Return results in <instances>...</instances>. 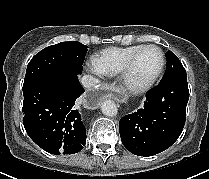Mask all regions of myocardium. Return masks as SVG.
<instances>
[{"label": "myocardium", "mask_w": 209, "mask_h": 179, "mask_svg": "<svg viewBox=\"0 0 209 179\" xmlns=\"http://www.w3.org/2000/svg\"><path fill=\"white\" fill-rule=\"evenodd\" d=\"M150 48H154L159 51L161 55L160 67L158 71L156 72V74L153 77H151L149 80L140 84H134L132 83L130 79L133 67L135 63L137 62L138 58L140 57V55L145 50L150 49ZM165 64H166L165 54H164V51L159 46L153 45V44L143 46L141 49H139L130 57V59L127 61L122 71L120 72V81H121L123 88L130 94H142V93L147 92L154 86V84L158 81V79L162 75L164 68H165Z\"/></svg>", "instance_id": "1"}]
</instances>
